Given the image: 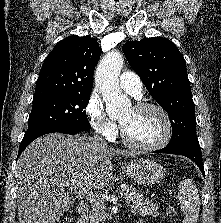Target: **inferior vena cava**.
<instances>
[{
  "instance_id": "1",
  "label": "inferior vena cava",
  "mask_w": 221,
  "mask_h": 223,
  "mask_svg": "<svg viewBox=\"0 0 221 223\" xmlns=\"http://www.w3.org/2000/svg\"><path fill=\"white\" fill-rule=\"evenodd\" d=\"M95 141L101 143L102 145H106V142L99 136L95 135L93 138Z\"/></svg>"
}]
</instances>
